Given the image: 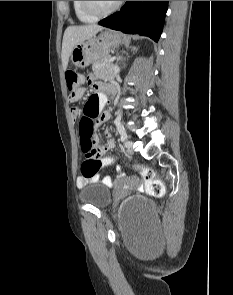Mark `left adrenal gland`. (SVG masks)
Segmentation results:
<instances>
[{
	"label": "left adrenal gland",
	"mask_w": 233,
	"mask_h": 295,
	"mask_svg": "<svg viewBox=\"0 0 233 295\" xmlns=\"http://www.w3.org/2000/svg\"><path fill=\"white\" fill-rule=\"evenodd\" d=\"M138 50V48H133V51H137ZM120 60L122 59L121 57L119 58Z\"/></svg>",
	"instance_id": "1"
}]
</instances>
